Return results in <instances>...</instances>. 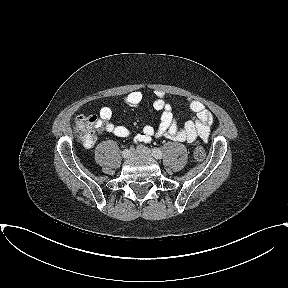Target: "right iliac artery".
Segmentation results:
<instances>
[{
    "label": "right iliac artery",
    "instance_id": "82829eb1",
    "mask_svg": "<svg viewBox=\"0 0 288 288\" xmlns=\"http://www.w3.org/2000/svg\"><path fill=\"white\" fill-rule=\"evenodd\" d=\"M122 158L123 159H128L129 158V150L128 149H123L122 150Z\"/></svg>",
    "mask_w": 288,
    "mask_h": 288
}]
</instances>
